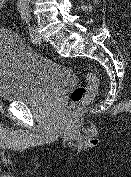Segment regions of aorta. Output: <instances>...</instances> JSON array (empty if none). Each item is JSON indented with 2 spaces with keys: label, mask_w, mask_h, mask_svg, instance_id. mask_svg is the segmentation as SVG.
<instances>
[{
  "label": "aorta",
  "mask_w": 131,
  "mask_h": 177,
  "mask_svg": "<svg viewBox=\"0 0 131 177\" xmlns=\"http://www.w3.org/2000/svg\"><path fill=\"white\" fill-rule=\"evenodd\" d=\"M19 1H21V2H28L29 0H19Z\"/></svg>",
  "instance_id": "762f6f07"
}]
</instances>
